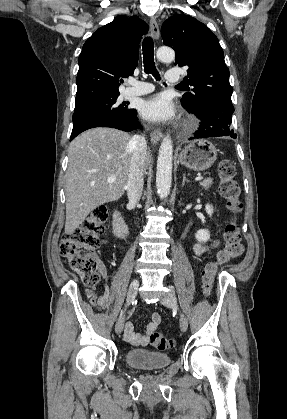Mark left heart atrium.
I'll return each mask as SVG.
<instances>
[{
  "label": "left heart atrium",
  "mask_w": 287,
  "mask_h": 419,
  "mask_svg": "<svg viewBox=\"0 0 287 419\" xmlns=\"http://www.w3.org/2000/svg\"><path fill=\"white\" fill-rule=\"evenodd\" d=\"M140 113L146 120L163 121L172 117L173 106L166 95L158 94L141 103Z\"/></svg>",
  "instance_id": "left-heart-atrium-1"
}]
</instances>
